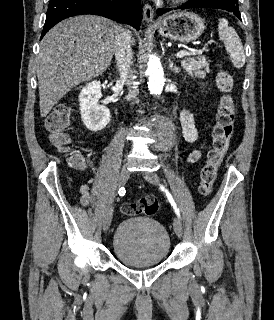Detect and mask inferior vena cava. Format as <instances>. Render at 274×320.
<instances>
[{"mask_svg": "<svg viewBox=\"0 0 274 320\" xmlns=\"http://www.w3.org/2000/svg\"><path fill=\"white\" fill-rule=\"evenodd\" d=\"M115 34V60L121 80H124L128 86L129 96H137L136 86L134 84L135 76L132 70V50L131 46L134 42L131 32L123 30L116 26Z\"/></svg>", "mask_w": 274, "mask_h": 320, "instance_id": "602c4592", "label": "inferior vena cava"}]
</instances>
